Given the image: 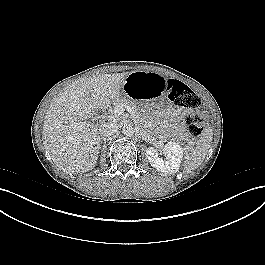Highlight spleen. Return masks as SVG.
Masks as SVG:
<instances>
[{
  "instance_id": "obj_1",
  "label": "spleen",
  "mask_w": 265,
  "mask_h": 265,
  "mask_svg": "<svg viewBox=\"0 0 265 265\" xmlns=\"http://www.w3.org/2000/svg\"><path fill=\"white\" fill-rule=\"evenodd\" d=\"M212 141V130L206 129L200 143L190 152L186 153L182 164L186 172L196 169L204 160Z\"/></svg>"
}]
</instances>
